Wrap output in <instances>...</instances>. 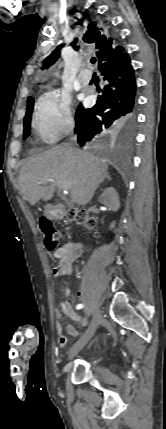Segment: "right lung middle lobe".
<instances>
[{"label": "right lung middle lobe", "instance_id": "1", "mask_svg": "<svg viewBox=\"0 0 166 429\" xmlns=\"http://www.w3.org/2000/svg\"><path fill=\"white\" fill-rule=\"evenodd\" d=\"M33 107H34V99L31 97V99L27 101V112L24 118V133H23L24 139H26L30 135V122H31Z\"/></svg>", "mask_w": 166, "mask_h": 429}]
</instances>
